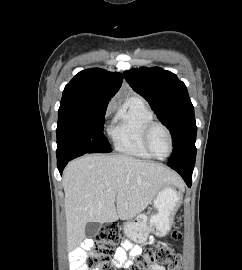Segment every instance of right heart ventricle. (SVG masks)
Masks as SVG:
<instances>
[{"instance_id":"e07e8e85","label":"right heart ventricle","mask_w":242,"mask_h":270,"mask_svg":"<svg viewBox=\"0 0 242 270\" xmlns=\"http://www.w3.org/2000/svg\"><path fill=\"white\" fill-rule=\"evenodd\" d=\"M152 120L153 113L141 98L127 100L118 109L109 129L115 149L126 155L151 159L143 144V132Z\"/></svg>"}]
</instances>
